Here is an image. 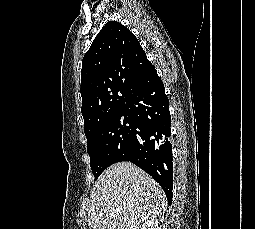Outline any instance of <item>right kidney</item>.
Wrapping results in <instances>:
<instances>
[{"label": "right kidney", "instance_id": "right-kidney-1", "mask_svg": "<svg viewBox=\"0 0 255 229\" xmlns=\"http://www.w3.org/2000/svg\"><path fill=\"white\" fill-rule=\"evenodd\" d=\"M140 229H160L159 228V221L156 218H151L150 220L146 221Z\"/></svg>", "mask_w": 255, "mask_h": 229}]
</instances>
